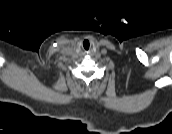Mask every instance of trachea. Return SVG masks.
I'll list each match as a JSON object with an SVG mask.
<instances>
[{"instance_id": "3493384b", "label": "trachea", "mask_w": 172, "mask_h": 134, "mask_svg": "<svg viewBox=\"0 0 172 134\" xmlns=\"http://www.w3.org/2000/svg\"><path fill=\"white\" fill-rule=\"evenodd\" d=\"M86 42H87V46L89 47V41L88 40L84 41V46H85Z\"/></svg>"}]
</instances>
